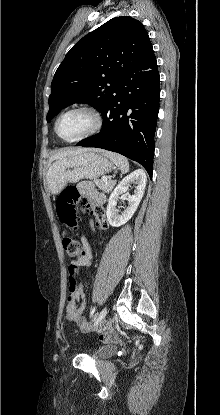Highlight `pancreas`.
Returning a JSON list of instances; mask_svg holds the SVG:
<instances>
[{"instance_id":"1","label":"pancreas","mask_w":220,"mask_h":415,"mask_svg":"<svg viewBox=\"0 0 220 415\" xmlns=\"http://www.w3.org/2000/svg\"><path fill=\"white\" fill-rule=\"evenodd\" d=\"M95 185L105 193H109L112 191L113 187L116 184L115 180H94Z\"/></svg>"}]
</instances>
